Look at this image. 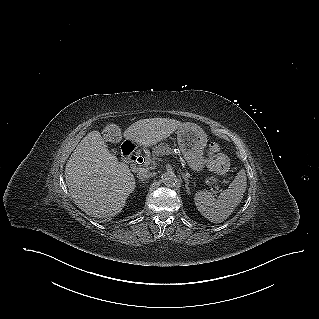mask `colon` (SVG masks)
I'll list each match as a JSON object with an SVG mask.
<instances>
[{"instance_id": "1", "label": "colon", "mask_w": 319, "mask_h": 319, "mask_svg": "<svg viewBox=\"0 0 319 319\" xmlns=\"http://www.w3.org/2000/svg\"><path fill=\"white\" fill-rule=\"evenodd\" d=\"M92 130L95 133H100L104 130L105 140L113 145H118L122 141L120 129L117 126H114L109 120H104L102 123L95 122L92 125ZM209 155V168L220 176L225 175L228 171L229 162L227 157L221 152L220 146L216 143H212L209 146Z\"/></svg>"}]
</instances>
